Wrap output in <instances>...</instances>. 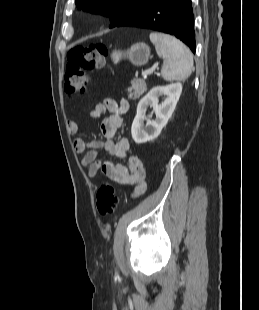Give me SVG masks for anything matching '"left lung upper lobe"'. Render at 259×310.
I'll list each match as a JSON object with an SVG mask.
<instances>
[{
    "mask_svg": "<svg viewBox=\"0 0 259 310\" xmlns=\"http://www.w3.org/2000/svg\"><path fill=\"white\" fill-rule=\"evenodd\" d=\"M151 0H76V6L83 11L109 17L115 26L120 20L138 7Z\"/></svg>",
    "mask_w": 259,
    "mask_h": 310,
    "instance_id": "obj_1",
    "label": "left lung upper lobe"
}]
</instances>
